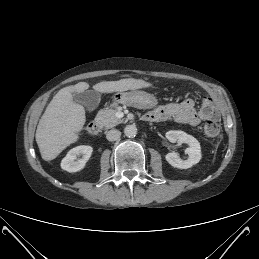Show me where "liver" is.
<instances>
[{
  "mask_svg": "<svg viewBox=\"0 0 259 259\" xmlns=\"http://www.w3.org/2000/svg\"><path fill=\"white\" fill-rule=\"evenodd\" d=\"M142 79H121L118 81L100 82L93 89L101 93L122 92L150 87ZM89 88L86 82L62 88L48 104L39 120L36 130V142L41 157L45 161L55 159L66 147L78 140V133L85 121V109L74 102L73 92H84Z\"/></svg>",
  "mask_w": 259,
  "mask_h": 259,
  "instance_id": "1",
  "label": "liver"
}]
</instances>
